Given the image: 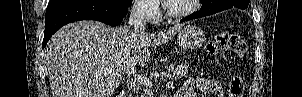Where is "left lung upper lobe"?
<instances>
[{"instance_id": "1", "label": "left lung upper lobe", "mask_w": 302, "mask_h": 97, "mask_svg": "<svg viewBox=\"0 0 302 97\" xmlns=\"http://www.w3.org/2000/svg\"><path fill=\"white\" fill-rule=\"evenodd\" d=\"M202 6L207 7L211 5L220 11L232 8V7H245L248 6L250 0H201Z\"/></svg>"}]
</instances>
